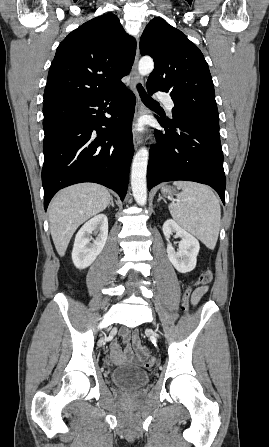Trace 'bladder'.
<instances>
[{"instance_id":"obj_1","label":"bladder","mask_w":269,"mask_h":447,"mask_svg":"<svg viewBox=\"0 0 269 447\" xmlns=\"http://www.w3.org/2000/svg\"><path fill=\"white\" fill-rule=\"evenodd\" d=\"M110 378L118 388L135 391L147 384L151 378V374L144 368L125 365L113 369L110 373Z\"/></svg>"}]
</instances>
